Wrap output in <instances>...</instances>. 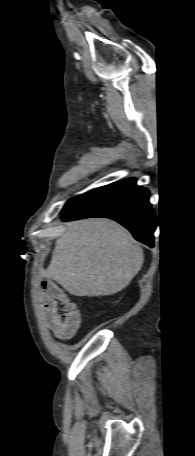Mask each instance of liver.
<instances>
[{"instance_id": "obj_1", "label": "liver", "mask_w": 195, "mask_h": 456, "mask_svg": "<svg viewBox=\"0 0 195 456\" xmlns=\"http://www.w3.org/2000/svg\"><path fill=\"white\" fill-rule=\"evenodd\" d=\"M143 262V249L124 227L86 219L65 224L44 276L75 296H108L127 287Z\"/></svg>"}]
</instances>
